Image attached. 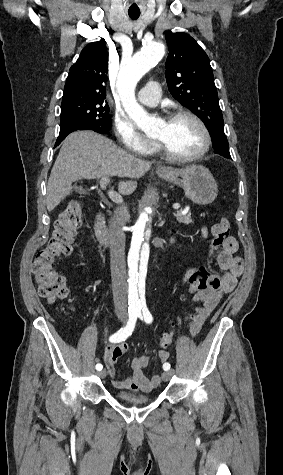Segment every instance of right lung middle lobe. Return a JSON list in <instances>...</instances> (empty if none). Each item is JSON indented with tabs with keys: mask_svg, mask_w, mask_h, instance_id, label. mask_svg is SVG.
<instances>
[{
	"mask_svg": "<svg viewBox=\"0 0 283 475\" xmlns=\"http://www.w3.org/2000/svg\"><path fill=\"white\" fill-rule=\"evenodd\" d=\"M106 96H63L60 126L83 124L92 130L107 134L111 128Z\"/></svg>",
	"mask_w": 283,
	"mask_h": 475,
	"instance_id": "right-lung-middle-lobe-1",
	"label": "right lung middle lobe"
}]
</instances>
